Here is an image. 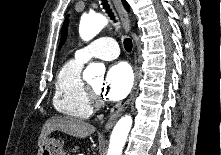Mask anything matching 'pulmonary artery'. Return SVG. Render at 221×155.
<instances>
[{"label":"pulmonary artery","instance_id":"e3ab8cb5","mask_svg":"<svg viewBox=\"0 0 221 155\" xmlns=\"http://www.w3.org/2000/svg\"><path fill=\"white\" fill-rule=\"evenodd\" d=\"M119 55L117 42L111 37H101L91 44L79 49L75 53V58L87 62L91 58L103 60H113Z\"/></svg>","mask_w":221,"mask_h":155}]
</instances>
